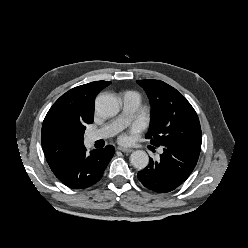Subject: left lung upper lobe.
Returning <instances> with one entry per match:
<instances>
[{"label":"left lung upper lobe","mask_w":248,"mask_h":248,"mask_svg":"<svg viewBox=\"0 0 248 248\" xmlns=\"http://www.w3.org/2000/svg\"><path fill=\"white\" fill-rule=\"evenodd\" d=\"M151 104L150 128L146 138L156 147H172L193 153L201 150L198 116L175 88L160 80H138Z\"/></svg>","instance_id":"1"}]
</instances>
